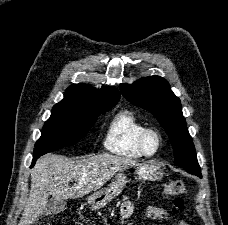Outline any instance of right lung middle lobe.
<instances>
[{"instance_id": "dd1d6c3e", "label": "right lung middle lobe", "mask_w": 228, "mask_h": 225, "mask_svg": "<svg viewBox=\"0 0 228 225\" xmlns=\"http://www.w3.org/2000/svg\"><path fill=\"white\" fill-rule=\"evenodd\" d=\"M110 106H91L76 103H58L46 121L34 154H46L65 146L75 145L85 137L97 116L111 109Z\"/></svg>"}]
</instances>
